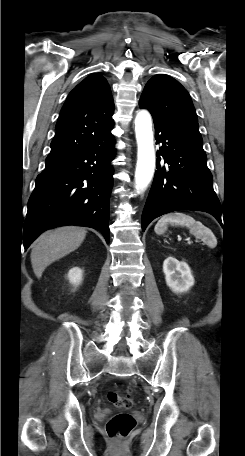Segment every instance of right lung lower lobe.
I'll use <instances>...</instances> for the list:
<instances>
[{
  "mask_svg": "<svg viewBox=\"0 0 245 456\" xmlns=\"http://www.w3.org/2000/svg\"><path fill=\"white\" fill-rule=\"evenodd\" d=\"M114 143L111 133L104 134L84 151L45 166L28 202L25 250L41 232L62 225L97 229L109 242Z\"/></svg>",
  "mask_w": 245,
  "mask_h": 456,
  "instance_id": "98d812e1",
  "label": "right lung lower lobe"
}]
</instances>
